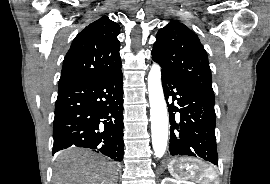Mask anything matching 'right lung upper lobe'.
Listing matches in <instances>:
<instances>
[{
  "label": "right lung upper lobe",
  "mask_w": 270,
  "mask_h": 184,
  "mask_svg": "<svg viewBox=\"0 0 270 184\" xmlns=\"http://www.w3.org/2000/svg\"><path fill=\"white\" fill-rule=\"evenodd\" d=\"M119 33L120 26L107 16L82 30L64 58L59 87L120 70Z\"/></svg>",
  "instance_id": "1"
}]
</instances>
